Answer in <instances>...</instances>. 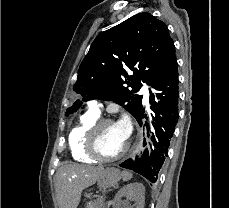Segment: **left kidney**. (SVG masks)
<instances>
[{
    "label": "left kidney",
    "mask_w": 229,
    "mask_h": 208,
    "mask_svg": "<svg viewBox=\"0 0 229 208\" xmlns=\"http://www.w3.org/2000/svg\"><path fill=\"white\" fill-rule=\"evenodd\" d=\"M122 198H126V200H122ZM127 200H134L136 208H144L145 188L143 184L134 182V184H128V186L121 188L114 198V208H131L127 204Z\"/></svg>",
    "instance_id": "left-kidney-1"
}]
</instances>
